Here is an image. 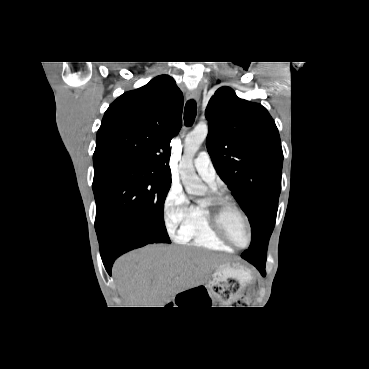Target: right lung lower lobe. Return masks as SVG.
<instances>
[{
  "instance_id": "right-lung-lower-lobe-1",
  "label": "right lung lower lobe",
  "mask_w": 369,
  "mask_h": 369,
  "mask_svg": "<svg viewBox=\"0 0 369 369\" xmlns=\"http://www.w3.org/2000/svg\"><path fill=\"white\" fill-rule=\"evenodd\" d=\"M103 264L111 275L114 260L121 254L155 243L147 238L140 230L128 224H120L110 229L107 234L98 239Z\"/></svg>"
}]
</instances>
